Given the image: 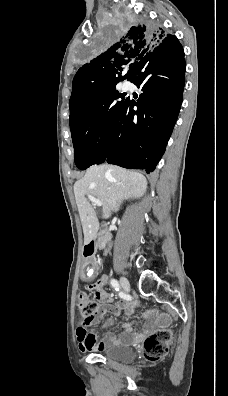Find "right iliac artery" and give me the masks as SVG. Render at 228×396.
I'll return each instance as SVG.
<instances>
[{"mask_svg":"<svg viewBox=\"0 0 228 396\" xmlns=\"http://www.w3.org/2000/svg\"><path fill=\"white\" fill-rule=\"evenodd\" d=\"M111 285L116 291L120 290V285H119V283H118V281L116 279H112L111 280Z\"/></svg>","mask_w":228,"mask_h":396,"instance_id":"obj_1","label":"right iliac artery"}]
</instances>
